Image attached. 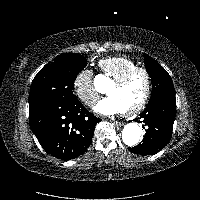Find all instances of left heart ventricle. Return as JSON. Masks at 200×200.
I'll return each mask as SVG.
<instances>
[{
	"label": "left heart ventricle",
	"mask_w": 200,
	"mask_h": 200,
	"mask_svg": "<svg viewBox=\"0 0 200 200\" xmlns=\"http://www.w3.org/2000/svg\"><path fill=\"white\" fill-rule=\"evenodd\" d=\"M145 89V76L139 73L121 87L110 86L107 92L117 100L122 111H126L139 103L145 93Z\"/></svg>",
	"instance_id": "left-heart-ventricle-1"
}]
</instances>
